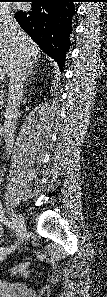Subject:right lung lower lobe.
<instances>
[{"label":"right lung lower lobe","instance_id":"obj_1","mask_svg":"<svg viewBox=\"0 0 107 297\" xmlns=\"http://www.w3.org/2000/svg\"><path fill=\"white\" fill-rule=\"evenodd\" d=\"M74 0H33L28 12H17L15 18L39 47L64 67L69 50Z\"/></svg>","mask_w":107,"mask_h":297}]
</instances>
